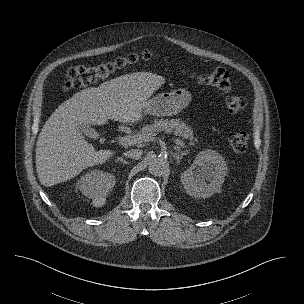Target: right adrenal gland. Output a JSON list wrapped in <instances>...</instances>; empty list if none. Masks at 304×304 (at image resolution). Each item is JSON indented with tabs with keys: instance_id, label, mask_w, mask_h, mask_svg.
<instances>
[{
	"instance_id": "2a0ac1e0",
	"label": "right adrenal gland",
	"mask_w": 304,
	"mask_h": 304,
	"mask_svg": "<svg viewBox=\"0 0 304 304\" xmlns=\"http://www.w3.org/2000/svg\"><path fill=\"white\" fill-rule=\"evenodd\" d=\"M122 162L123 164H129V162H127L124 158H122V157H119L117 160H116V162Z\"/></svg>"
}]
</instances>
